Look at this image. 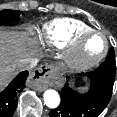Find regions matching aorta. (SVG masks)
<instances>
[{"label": "aorta", "mask_w": 117, "mask_h": 117, "mask_svg": "<svg viewBox=\"0 0 117 117\" xmlns=\"http://www.w3.org/2000/svg\"><path fill=\"white\" fill-rule=\"evenodd\" d=\"M44 103L49 108H57L60 104V96L57 91L53 89H48L43 95Z\"/></svg>", "instance_id": "obj_1"}]
</instances>
